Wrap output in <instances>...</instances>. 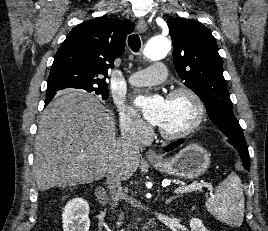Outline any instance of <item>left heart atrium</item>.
<instances>
[{"instance_id":"1","label":"left heart atrium","mask_w":268,"mask_h":231,"mask_svg":"<svg viewBox=\"0 0 268 231\" xmlns=\"http://www.w3.org/2000/svg\"><path fill=\"white\" fill-rule=\"evenodd\" d=\"M166 100L160 95L139 96L135 99V106L142 112L146 121L152 125H159L165 108Z\"/></svg>"}]
</instances>
